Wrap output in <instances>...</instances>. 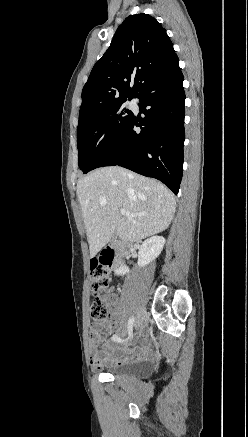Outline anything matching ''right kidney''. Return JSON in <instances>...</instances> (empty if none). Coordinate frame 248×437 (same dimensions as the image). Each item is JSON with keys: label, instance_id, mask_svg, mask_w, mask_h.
Here are the masks:
<instances>
[{"label": "right kidney", "instance_id": "ca27d5eb", "mask_svg": "<svg viewBox=\"0 0 248 437\" xmlns=\"http://www.w3.org/2000/svg\"><path fill=\"white\" fill-rule=\"evenodd\" d=\"M165 244V238L162 236H153L146 239L138 252V266L144 267L155 260L161 253ZM119 275L129 273L127 266H121L117 271Z\"/></svg>", "mask_w": 248, "mask_h": 437}]
</instances>
